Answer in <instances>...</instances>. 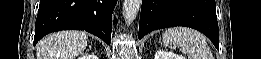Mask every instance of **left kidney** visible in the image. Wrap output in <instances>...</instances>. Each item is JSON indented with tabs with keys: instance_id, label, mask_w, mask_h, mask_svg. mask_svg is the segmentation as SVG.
I'll use <instances>...</instances> for the list:
<instances>
[{
	"instance_id": "left-kidney-1",
	"label": "left kidney",
	"mask_w": 261,
	"mask_h": 59,
	"mask_svg": "<svg viewBox=\"0 0 261 59\" xmlns=\"http://www.w3.org/2000/svg\"><path fill=\"white\" fill-rule=\"evenodd\" d=\"M154 59H184L183 56L175 54L173 52H168L165 50H158L155 53Z\"/></svg>"
}]
</instances>
